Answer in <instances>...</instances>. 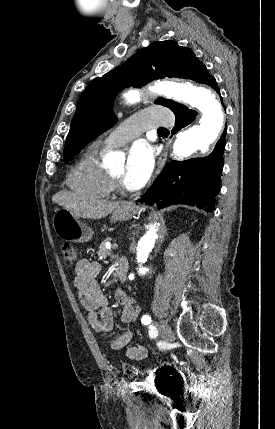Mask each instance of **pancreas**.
<instances>
[{
    "mask_svg": "<svg viewBox=\"0 0 275 429\" xmlns=\"http://www.w3.org/2000/svg\"><path fill=\"white\" fill-rule=\"evenodd\" d=\"M97 254L99 256H102L104 258L111 256L112 255V251L110 249H107L105 246V242H102L99 246V250L97 252Z\"/></svg>",
    "mask_w": 275,
    "mask_h": 429,
    "instance_id": "1",
    "label": "pancreas"
}]
</instances>
